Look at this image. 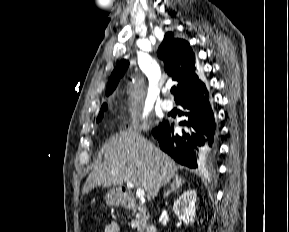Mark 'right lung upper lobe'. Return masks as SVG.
<instances>
[{
	"label": "right lung upper lobe",
	"mask_w": 289,
	"mask_h": 232,
	"mask_svg": "<svg viewBox=\"0 0 289 232\" xmlns=\"http://www.w3.org/2000/svg\"><path fill=\"white\" fill-rule=\"evenodd\" d=\"M157 54L164 61L165 71L178 82L174 94L176 102L188 96L208 92L203 77L195 64V54L186 40L175 38L172 32H168L165 34ZM128 65L129 62L126 60H121L117 64L107 84V96L114 91Z\"/></svg>",
	"instance_id": "cb5924a9"
}]
</instances>
